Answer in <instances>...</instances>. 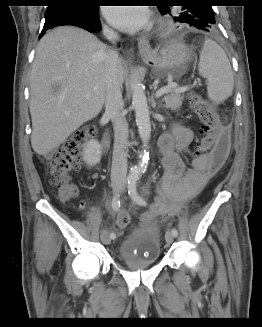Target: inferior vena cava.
<instances>
[{"mask_svg":"<svg viewBox=\"0 0 262 327\" xmlns=\"http://www.w3.org/2000/svg\"><path fill=\"white\" fill-rule=\"evenodd\" d=\"M104 33L112 42L119 39L118 34L105 27ZM119 56L114 50L106 58V100L105 113L111 118L114 128V147L111 168V181L121 182L126 180L128 146V124L123 111V98L121 82L118 75Z\"/></svg>","mask_w":262,"mask_h":327,"instance_id":"602c4592","label":"inferior vena cava"}]
</instances>
